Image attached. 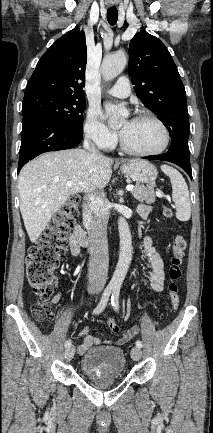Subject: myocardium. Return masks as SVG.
Wrapping results in <instances>:
<instances>
[{"label":"myocardium","instance_id":"myocardium-1","mask_svg":"<svg viewBox=\"0 0 213 433\" xmlns=\"http://www.w3.org/2000/svg\"><path fill=\"white\" fill-rule=\"evenodd\" d=\"M132 119L133 120H149V121H152L153 123H155L162 131L163 142H162L161 146L155 150L137 151V150L130 148L126 144V142L123 140L122 136L119 134L118 141H119V145H120L121 149L127 154H130L133 156H139V157H149V156H155V155H159V154L163 153L169 145L170 134H169L168 128L162 122V120H160L157 116H155L151 113H148V112H139Z\"/></svg>","mask_w":213,"mask_h":433}]
</instances>
